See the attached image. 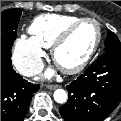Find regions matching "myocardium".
Here are the masks:
<instances>
[{
	"instance_id": "1",
	"label": "myocardium",
	"mask_w": 121,
	"mask_h": 121,
	"mask_svg": "<svg viewBox=\"0 0 121 121\" xmlns=\"http://www.w3.org/2000/svg\"><path fill=\"white\" fill-rule=\"evenodd\" d=\"M85 22H92L95 24V26L97 28V38H96V41H95L93 47L89 50V52L86 54V56L78 64L71 66V67H61L57 62L58 49L68 40V38L73 33V31L78 26H80L81 24H83ZM102 35H103V33H102L101 24L96 19L90 18V17H82V18L78 19L77 21L68 25L58 35L56 40L53 42V44L51 46V55H52L53 61L57 64V66L60 68V70L62 72H64L65 74L72 75V74H77V73L81 72L89 64V62L92 60V58L96 54V52L101 44V41H102Z\"/></svg>"
}]
</instances>
